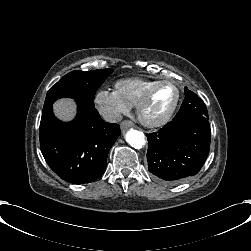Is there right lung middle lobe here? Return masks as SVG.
Segmentation results:
<instances>
[{"mask_svg": "<svg viewBox=\"0 0 251 251\" xmlns=\"http://www.w3.org/2000/svg\"><path fill=\"white\" fill-rule=\"evenodd\" d=\"M112 72L113 69H98L68 73L47 92L43 111L50 109L57 99L63 97L94 105L95 92Z\"/></svg>", "mask_w": 251, "mask_h": 251, "instance_id": "obj_1", "label": "right lung middle lobe"}]
</instances>
